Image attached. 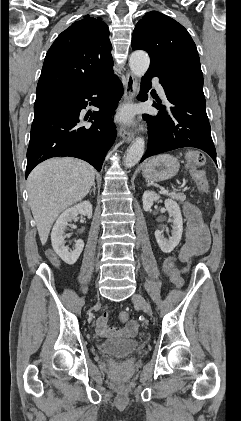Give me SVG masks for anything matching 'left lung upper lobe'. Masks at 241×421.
<instances>
[{
	"instance_id": "obj_1",
	"label": "left lung upper lobe",
	"mask_w": 241,
	"mask_h": 421,
	"mask_svg": "<svg viewBox=\"0 0 241 421\" xmlns=\"http://www.w3.org/2000/svg\"><path fill=\"white\" fill-rule=\"evenodd\" d=\"M133 50L148 52L149 68L180 80L203 84V74L194 41L187 30L174 19L157 11L145 14L135 26Z\"/></svg>"
}]
</instances>
